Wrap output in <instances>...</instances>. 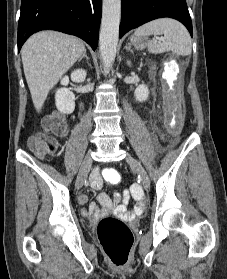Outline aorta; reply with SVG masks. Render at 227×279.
<instances>
[{
  "instance_id": "obj_1",
  "label": "aorta",
  "mask_w": 227,
  "mask_h": 279,
  "mask_svg": "<svg viewBox=\"0 0 227 279\" xmlns=\"http://www.w3.org/2000/svg\"><path fill=\"white\" fill-rule=\"evenodd\" d=\"M120 17L121 0H103L99 44L100 58L106 69L112 66L116 57Z\"/></svg>"
}]
</instances>
